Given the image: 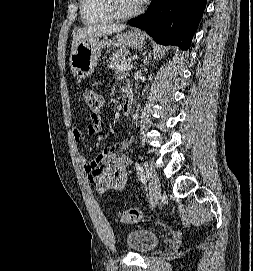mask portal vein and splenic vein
Wrapping results in <instances>:
<instances>
[{
    "mask_svg": "<svg viewBox=\"0 0 253 271\" xmlns=\"http://www.w3.org/2000/svg\"><path fill=\"white\" fill-rule=\"evenodd\" d=\"M120 68L124 71L131 70L133 68V64L131 63L123 64Z\"/></svg>",
    "mask_w": 253,
    "mask_h": 271,
    "instance_id": "obj_1",
    "label": "portal vein and splenic vein"
}]
</instances>
